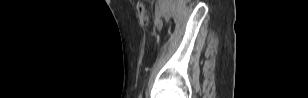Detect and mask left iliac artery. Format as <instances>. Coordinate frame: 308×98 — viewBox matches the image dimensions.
<instances>
[{
    "label": "left iliac artery",
    "instance_id": "44dca946",
    "mask_svg": "<svg viewBox=\"0 0 308 98\" xmlns=\"http://www.w3.org/2000/svg\"><path fill=\"white\" fill-rule=\"evenodd\" d=\"M160 40V39H159ZM159 43V42H158ZM139 98H142V93H140Z\"/></svg>",
    "mask_w": 308,
    "mask_h": 98
}]
</instances>
